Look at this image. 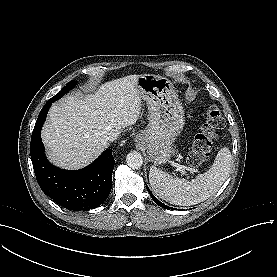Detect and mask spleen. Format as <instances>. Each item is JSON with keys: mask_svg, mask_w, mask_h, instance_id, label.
Listing matches in <instances>:
<instances>
[{"mask_svg": "<svg viewBox=\"0 0 277 277\" xmlns=\"http://www.w3.org/2000/svg\"><path fill=\"white\" fill-rule=\"evenodd\" d=\"M231 161V152L224 147L217 153L211 168L191 181L151 166L149 182L154 193L161 199L175 205H195L216 194L229 176Z\"/></svg>", "mask_w": 277, "mask_h": 277, "instance_id": "obj_1", "label": "spleen"}]
</instances>
